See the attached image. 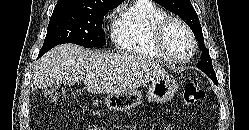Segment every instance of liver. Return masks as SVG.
<instances>
[{
  "label": "liver",
  "mask_w": 249,
  "mask_h": 130,
  "mask_svg": "<svg viewBox=\"0 0 249 130\" xmlns=\"http://www.w3.org/2000/svg\"><path fill=\"white\" fill-rule=\"evenodd\" d=\"M167 76L162 66L144 57L90 51L74 44H63L39 59L31 85L47 88L55 84L74 85L82 80L90 93L114 94L134 90Z\"/></svg>",
  "instance_id": "liver-1"
}]
</instances>
